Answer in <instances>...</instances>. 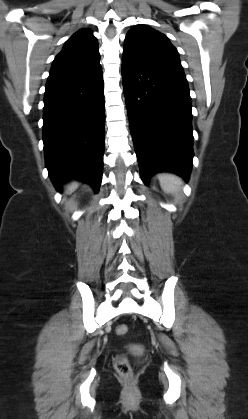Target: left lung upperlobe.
Masks as SVG:
<instances>
[{
    "label": "left lung upper lobe",
    "mask_w": 248,
    "mask_h": 419,
    "mask_svg": "<svg viewBox=\"0 0 248 419\" xmlns=\"http://www.w3.org/2000/svg\"><path fill=\"white\" fill-rule=\"evenodd\" d=\"M123 54L138 62L185 75L178 52L169 39L146 25L135 26L127 33Z\"/></svg>",
    "instance_id": "obj_1"
}]
</instances>
